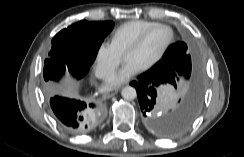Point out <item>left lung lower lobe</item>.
Instances as JSON below:
<instances>
[{"label":"left lung lower lobe","instance_id":"obj_1","mask_svg":"<svg viewBox=\"0 0 244 157\" xmlns=\"http://www.w3.org/2000/svg\"><path fill=\"white\" fill-rule=\"evenodd\" d=\"M169 83L164 76L146 71L131 82L136 88L145 127L161 137L184 133L197 117L203 95V81L175 105L163 109L162 92Z\"/></svg>","mask_w":244,"mask_h":157}]
</instances>
